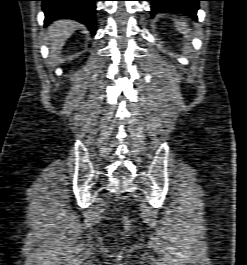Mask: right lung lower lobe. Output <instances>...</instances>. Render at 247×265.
<instances>
[{"mask_svg": "<svg viewBox=\"0 0 247 265\" xmlns=\"http://www.w3.org/2000/svg\"><path fill=\"white\" fill-rule=\"evenodd\" d=\"M45 13V25L57 19H73L96 33V5L98 0H40Z\"/></svg>", "mask_w": 247, "mask_h": 265, "instance_id": "obj_1", "label": "right lung lower lobe"}]
</instances>
